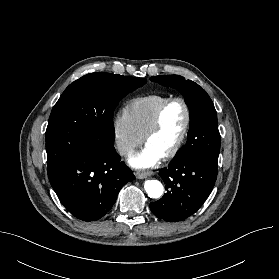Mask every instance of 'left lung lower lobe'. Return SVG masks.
I'll return each instance as SVG.
<instances>
[{"label": "left lung lower lobe", "mask_w": 279, "mask_h": 279, "mask_svg": "<svg viewBox=\"0 0 279 279\" xmlns=\"http://www.w3.org/2000/svg\"><path fill=\"white\" fill-rule=\"evenodd\" d=\"M218 165L196 156L175 158L159 175L167 193L150 203L152 213L159 219L177 222L194 214L211 193Z\"/></svg>", "instance_id": "0a47b994"}]
</instances>
